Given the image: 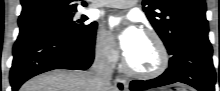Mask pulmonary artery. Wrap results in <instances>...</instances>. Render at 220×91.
Listing matches in <instances>:
<instances>
[{
  "mask_svg": "<svg viewBox=\"0 0 220 91\" xmlns=\"http://www.w3.org/2000/svg\"><path fill=\"white\" fill-rule=\"evenodd\" d=\"M136 2L135 0H106L100 2V5L111 8H129Z\"/></svg>",
  "mask_w": 220,
  "mask_h": 91,
  "instance_id": "e3ab8cb5",
  "label": "pulmonary artery"
}]
</instances>
